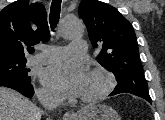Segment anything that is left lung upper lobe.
Listing matches in <instances>:
<instances>
[{"mask_svg":"<svg viewBox=\"0 0 165 120\" xmlns=\"http://www.w3.org/2000/svg\"><path fill=\"white\" fill-rule=\"evenodd\" d=\"M78 12L93 47L100 49L98 62L118 82L111 95L131 93L151 100L131 23L116 8L98 0H82Z\"/></svg>","mask_w":165,"mask_h":120,"instance_id":"obj_1","label":"left lung upper lobe"}]
</instances>
